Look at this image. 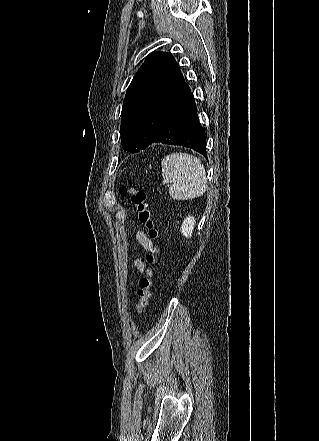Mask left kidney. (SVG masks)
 <instances>
[{"label":"left kidney","mask_w":319,"mask_h":441,"mask_svg":"<svg viewBox=\"0 0 319 441\" xmlns=\"http://www.w3.org/2000/svg\"><path fill=\"white\" fill-rule=\"evenodd\" d=\"M195 224L196 219L193 216L186 217L181 225V233L183 236L190 238L192 236Z\"/></svg>","instance_id":"obj_1"}]
</instances>
